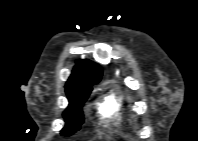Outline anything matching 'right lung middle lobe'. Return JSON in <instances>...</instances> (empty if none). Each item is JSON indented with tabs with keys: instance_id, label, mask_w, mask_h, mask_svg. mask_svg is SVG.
I'll return each instance as SVG.
<instances>
[{
	"instance_id": "right-lung-middle-lobe-1",
	"label": "right lung middle lobe",
	"mask_w": 198,
	"mask_h": 141,
	"mask_svg": "<svg viewBox=\"0 0 198 141\" xmlns=\"http://www.w3.org/2000/svg\"><path fill=\"white\" fill-rule=\"evenodd\" d=\"M92 85L66 88L69 106L63 113L66 125L61 131L62 135L70 136L80 129L84 121L82 105L88 98L92 90Z\"/></svg>"
}]
</instances>
